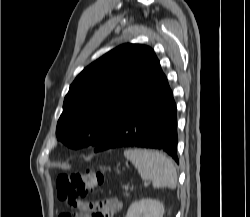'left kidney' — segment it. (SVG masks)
<instances>
[{
    "instance_id": "obj_1",
    "label": "left kidney",
    "mask_w": 250,
    "mask_h": 217,
    "mask_svg": "<svg viewBox=\"0 0 250 217\" xmlns=\"http://www.w3.org/2000/svg\"><path fill=\"white\" fill-rule=\"evenodd\" d=\"M163 203L153 199H142L131 204L126 217H163Z\"/></svg>"
}]
</instances>
